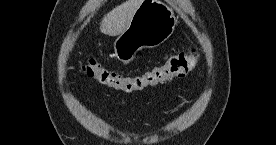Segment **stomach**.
Listing matches in <instances>:
<instances>
[{
  "label": "stomach",
  "mask_w": 276,
  "mask_h": 145,
  "mask_svg": "<svg viewBox=\"0 0 276 145\" xmlns=\"http://www.w3.org/2000/svg\"><path fill=\"white\" fill-rule=\"evenodd\" d=\"M173 10L160 0H142L128 28L114 42L115 55L128 63L143 48H155L164 43L176 26Z\"/></svg>",
  "instance_id": "obj_1"
}]
</instances>
